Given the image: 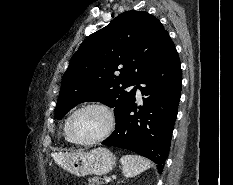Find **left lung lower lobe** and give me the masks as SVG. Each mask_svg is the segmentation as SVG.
Masks as SVG:
<instances>
[{"mask_svg": "<svg viewBox=\"0 0 233 185\" xmlns=\"http://www.w3.org/2000/svg\"><path fill=\"white\" fill-rule=\"evenodd\" d=\"M137 83L144 85L138 86L145 96L143 107L137 111L134 99L103 144L125 148L149 158L162 172L170 150L182 88L180 60L171 38Z\"/></svg>", "mask_w": 233, "mask_h": 185, "instance_id": "obj_1", "label": "left lung lower lobe"}]
</instances>
